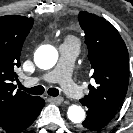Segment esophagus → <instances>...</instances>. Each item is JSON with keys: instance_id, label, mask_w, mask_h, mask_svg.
Here are the masks:
<instances>
[{"instance_id": "34e87169", "label": "esophagus", "mask_w": 133, "mask_h": 133, "mask_svg": "<svg viewBox=\"0 0 133 133\" xmlns=\"http://www.w3.org/2000/svg\"><path fill=\"white\" fill-rule=\"evenodd\" d=\"M52 100L57 103H61V102H63L64 99H63V97H53Z\"/></svg>"}]
</instances>
